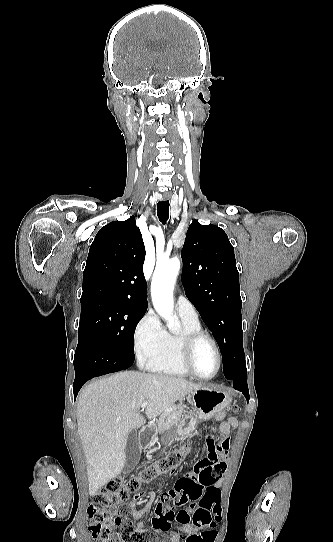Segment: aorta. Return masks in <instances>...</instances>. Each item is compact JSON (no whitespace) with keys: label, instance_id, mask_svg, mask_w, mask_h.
I'll return each mask as SVG.
<instances>
[{"label":"aorta","instance_id":"1","mask_svg":"<svg viewBox=\"0 0 333 542\" xmlns=\"http://www.w3.org/2000/svg\"><path fill=\"white\" fill-rule=\"evenodd\" d=\"M180 270V260L172 258L163 266H156L152 284L151 296L153 306L167 322V326L171 332L180 328L177 316H173V286Z\"/></svg>","mask_w":333,"mask_h":542}]
</instances>
